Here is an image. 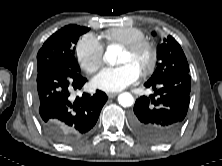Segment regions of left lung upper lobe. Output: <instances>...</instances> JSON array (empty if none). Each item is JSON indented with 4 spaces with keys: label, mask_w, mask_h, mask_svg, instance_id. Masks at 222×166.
<instances>
[{
    "label": "left lung upper lobe",
    "mask_w": 222,
    "mask_h": 166,
    "mask_svg": "<svg viewBox=\"0 0 222 166\" xmlns=\"http://www.w3.org/2000/svg\"><path fill=\"white\" fill-rule=\"evenodd\" d=\"M153 35L155 33L153 32ZM158 65L149 81H157L163 77L188 74L189 66L179 43L172 37L164 38L157 49Z\"/></svg>",
    "instance_id": "1"
}]
</instances>
